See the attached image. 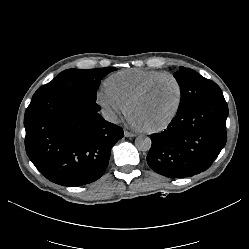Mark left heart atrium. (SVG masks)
Masks as SVG:
<instances>
[{
  "mask_svg": "<svg viewBox=\"0 0 249 249\" xmlns=\"http://www.w3.org/2000/svg\"><path fill=\"white\" fill-rule=\"evenodd\" d=\"M128 123L135 129L143 130L145 129L144 125L141 123L140 119L138 118L137 114L133 111H130L127 115Z\"/></svg>",
  "mask_w": 249,
  "mask_h": 249,
  "instance_id": "39dd6f15",
  "label": "left heart atrium"
}]
</instances>
